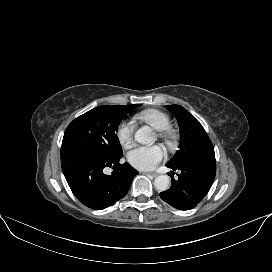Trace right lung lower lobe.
Instances as JSON below:
<instances>
[{"label": "right lung lower lobe", "instance_id": "right-lung-lower-lobe-1", "mask_svg": "<svg viewBox=\"0 0 272 272\" xmlns=\"http://www.w3.org/2000/svg\"><path fill=\"white\" fill-rule=\"evenodd\" d=\"M121 156L105 157L87 148H61V165L75 197L85 206L102 210L123 198L138 172ZM113 166L111 175L103 172Z\"/></svg>", "mask_w": 272, "mask_h": 272}]
</instances>
